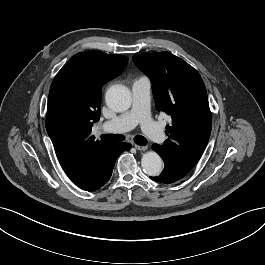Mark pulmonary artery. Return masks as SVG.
I'll return each mask as SVG.
<instances>
[{
    "mask_svg": "<svg viewBox=\"0 0 265 265\" xmlns=\"http://www.w3.org/2000/svg\"><path fill=\"white\" fill-rule=\"evenodd\" d=\"M132 106L113 120L103 122L101 128L114 132H126L140 125L142 131L153 141L163 143L165 133L161 126L151 119L149 112L151 83L147 77L132 82Z\"/></svg>",
    "mask_w": 265,
    "mask_h": 265,
    "instance_id": "obj_1",
    "label": "pulmonary artery"
}]
</instances>
